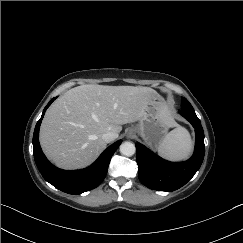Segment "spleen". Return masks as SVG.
Here are the masks:
<instances>
[{
  "mask_svg": "<svg viewBox=\"0 0 243 243\" xmlns=\"http://www.w3.org/2000/svg\"><path fill=\"white\" fill-rule=\"evenodd\" d=\"M192 151V140L189 132L182 126L169 132L158 147V152L170 160H182Z\"/></svg>",
  "mask_w": 243,
  "mask_h": 243,
  "instance_id": "obj_1",
  "label": "spleen"
}]
</instances>
